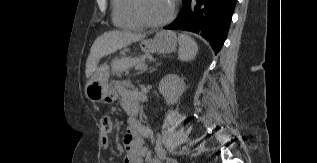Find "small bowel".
Instances as JSON below:
<instances>
[{"mask_svg": "<svg viewBox=\"0 0 317 163\" xmlns=\"http://www.w3.org/2000/svg\"><path fill=\"white\" fill-rule=\"evenodd\" d=\"M119 98L123 109L131 116L128 118L129 129L124 136L126 155L125 163H161L158 157V149H150L144 145V139L150 137L147 128L142 125L135 115L139 111L140 94L125 84H118L114 88L112 99ZM113 128L109 117L103 118L100 123V146L107 150L111 147L110 134ZM111 163H116L115 158H109Z\"/></svg>", "mask_w": 317, "mask_h": 163, "instance_id": "1", "label": "small bowel"}]
</instances>
